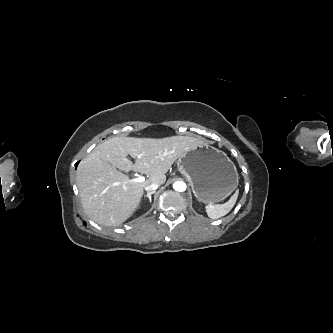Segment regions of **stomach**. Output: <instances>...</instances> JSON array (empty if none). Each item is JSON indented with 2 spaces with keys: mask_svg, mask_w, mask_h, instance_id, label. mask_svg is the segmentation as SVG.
Returning <instances> with one entry per match:
<instances>
[{
  "mask_svg": "<svg viewBox=\"0 0 333 333\" xmlns=\"http://www.w3.org/2000/svg\"><path fill=\"white\" fill-rule=\"evenodd\" d=\"M177 166L189 181L194 196L205 204L223 201L238 184L234 163L226 153L207 144L196 146L180 156Z\"/></svg>",
  "mask_w": 333,
  "mask_h": 333,
  "instance_id": "1",
  "label": "stomach"
}]
</instances>
